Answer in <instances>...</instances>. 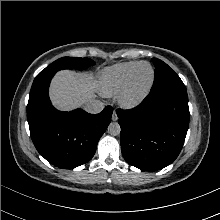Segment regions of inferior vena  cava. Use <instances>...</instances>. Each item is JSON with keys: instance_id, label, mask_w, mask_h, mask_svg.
<instances>
[{"instance_id": "obj_1", "label": "inferior vena cava", "mask_w": 220, "mask_h": 220, "mask_svg": "<svg viewBox=\"0 0 220 220\" xmlns=\"http://www.w3.org/2000/svg\"><path fill=\"white\" fill-rule=\"evenodd\" d=\"M103 109L104 103L100 100H93L85 105V110L91 114L100 113Z\"/></svg>"}]
</instances>
